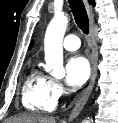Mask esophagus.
<instances>
[{
	"label": "esophagus",
	"instance_id": "obj_1",
	"mask_svg": "<svg viewBox=\"0 0 118 123\" xmlns=\"http://www.w3.org/2000/svg\"><path fill=\"white\" fill-rule=\"evenodd\" d=\"M86 8L90 20V37L93 40L94 39V13L92 7L85 1ZM97 60H98V52L94 45H92V54H91V77L88 86L85 90L82 91V93L78 96L76 104L69 116V121L74 120L82 111L83 107L85 106L88 98L91 95V92L93 90L95 80L97 77Z\"/></svg>",
	"mask_w": 118,
	"mask_h": 123
}]
</instances>
